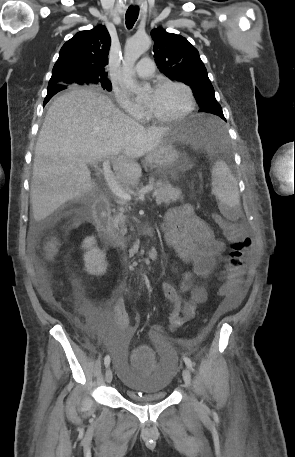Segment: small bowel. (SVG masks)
<instances>
[{
    "instance_id": "small-bowel-1",
    "label": "small bowel",
    "mask_w": 295,
    "mask_h": 457,
    "mask_svg": "<svg viewBox=\"0 0 295 457\" xmlns=\"http://www.w3.org/2000/svg\"><path fill=\"white\" fill-rule=\"evenodd\" d=\"M163 229L166 244L192 266V270L184 274L179 289V292H191L188 300L182 301L179 292L171 284L161 285L164 296L172 304L170 327L177 329L192 321L197 306L205 303L208 298L205 286L193 283L192 275L207 277L216 268L225 244L215 237L204 220L194 214L189 204L169 210L165 215ZM244 291L240 284L234 296L228 298L229 306L238 304ZM44 294L45 300L52 305L48 291ZM84 308L90 322L99 332L112 333L115 338H130L135 332L136 325L130 324L127 319L124 297H120L111 310L96 304H86ZM161 332L159 325L150 328V336L156 343L163 342Z\"/></svg>"
}]
</instances>
